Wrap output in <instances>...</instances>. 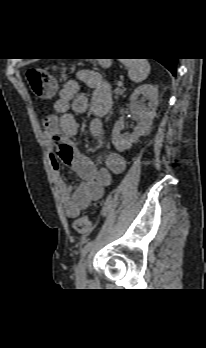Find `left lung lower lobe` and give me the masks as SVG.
I'll list each match as a JSON object with an SVG mask.
<instances>
[{"mask_svg":"<svg viewBox=\"0 0 206 348\" xmlns=\"http://www.w3.org/2000/svg\"><path fill=\"white\" fill-rule=\"evenodd\" d=\"M162 65H164L174 76L176 75L177 58L156 59Z\"/></svg>","mask_w":206,"mask_h":348,"instance_id":"1","label":"left lung lower lobe"}]
</instances>
